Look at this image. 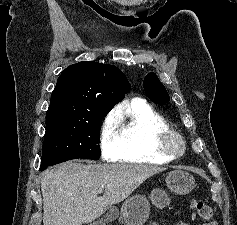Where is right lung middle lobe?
I'll return each instance as SVG.
<instances>
[{"instance_id": "dd1d6c3e", "label": "right lung middle lobe", "mask_w": 237, "mask_h": 225, "mask_svg": "<svg viewBox=\"0 0 237 225\" xmlns=\"http://www.w3.org/2000/svg\"><path fill=\"white\" fill-rule=\"evenodd\" d=\"M107 112L90 119L55 117L47 119L42 155H72L98 159L100 129Z\"/></svg>"}]
</instances>
